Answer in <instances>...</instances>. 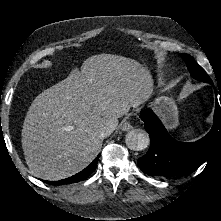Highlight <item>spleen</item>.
<instances>
[{
	"label": "spleen",
	"mask_w": 221,
	"mask_h": 221,
	"mask_svg": "<svg viewBox=\"0 0 221 221\" xmlns=\"http://www.w3.org/2000/svg\"><path fill=\"white\" fill-rule=\"evenodd\" d=\"M187 135H190V132H186V133L184 134V136H187Z\"/></svg>",
	"instance_id": "obj_1"
}]
</instances>
